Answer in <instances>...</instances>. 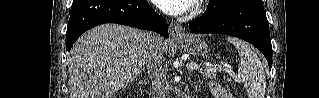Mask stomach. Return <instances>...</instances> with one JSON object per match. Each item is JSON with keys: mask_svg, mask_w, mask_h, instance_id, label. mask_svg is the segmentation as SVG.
Listing matches in <instances>:
<instances>
[{"mask_svg": "<svg viewBox=\"0 0 319 98\" xmlns=\"http://www.w3.org/2000/svg\"><path fill=\"white\" fill-rule=\"evenodd\" d=\"M178 45L186 52L195 56H205L208 44L197 35H186L178 40Z\"/></svg>", "mask_w": 319, "mask_h": 98, "instance_id": "0dacf381", "label": "stomach"}]
</instances>
